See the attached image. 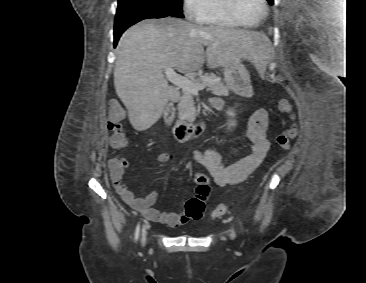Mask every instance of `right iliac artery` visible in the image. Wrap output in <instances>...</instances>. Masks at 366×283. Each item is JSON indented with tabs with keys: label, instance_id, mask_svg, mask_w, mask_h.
<instances>
[{
	"label": "right iliac artery",
	"instance_id": "1",
	"mask_svg": "<svg viewBox=\"0 0 366 283\" xmlns=\"http://www.w3.org/2000/svg\"><path fill=\"white\" fill-rule=\"evenodd\" d=\"M139 232H140V223H138L136 230H135V240L139 238Z\"/></svg>",
	"mask_w": 366,
	"mask_h": 283
}]
</instances>
